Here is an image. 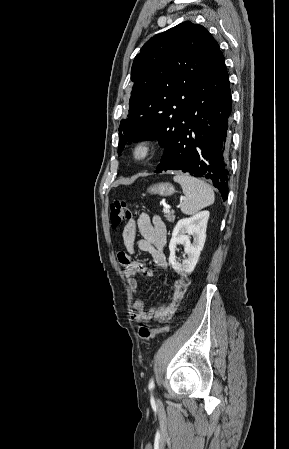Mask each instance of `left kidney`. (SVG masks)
Returning <instances> with one entry per match:
<instances>
[{
  "mask_svg": "<svg viewBox=\"0 0 289 449\" xmlns=\"http://www.w3.org/2000/svg\"><path fill=\"white\" fill-rule=\"evenodd\" d=\"M208 219L209 212L201 211L192 217L183 218L177 222L169 243V264L177 273L189 274L194 270L205 244ZM190 235L193 236L192 244ZM177 244L184 245V252L187 255L182 263L176 261Z\"/></svg>",
  "mask_w": 289,
  "mask_h": 449,
  "instance_id": "1",
  "label": "left kidney"
}]
</instances>
